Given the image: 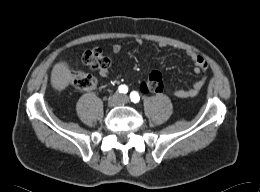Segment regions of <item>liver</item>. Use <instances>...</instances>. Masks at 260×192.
Instances as JSON below:
<instances>
[{
    "instance_id": "1",
    "label": "liver",
    "mask_w": 260,
    "mask_h": 192,
    "mask_svg": "<svg viewBox=\"0 0 260 192\" xmlns=\"http://www.w3.org/2000/svg\"><path fill=\"white\" fill-rule=\"evenodd\" d=\"M72 74L66 62L60 61L53 66L51 72V85L58 91L64 90L71 83Z\"/></svg>"
}]
</instances>
